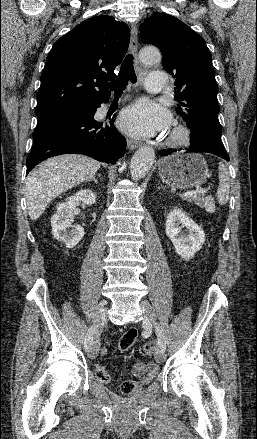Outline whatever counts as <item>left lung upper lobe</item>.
I'll return each instance as SVG.
<instances>
[{
  "label": "left lung upper lobe",
  "mask_w": 257,
  "mask_h": 439,
  "mask_svg": "<svg viewBox=\"0 0 257 439\" xmlns=\"http://www.w3.org/2000/svg\"><path fill=\"white\" fill-rule=\"evenodd\" d=\"M140 30L144 43L160 49L163 68L175 79V110L190 128L191 142L200 143L209 137L223 144L218 86L205 40L168 14L155 13L140 25Z\"/></svg>",
  "instance_id": "1"
}]
</instances>
